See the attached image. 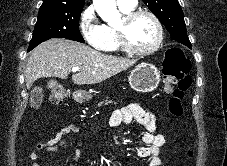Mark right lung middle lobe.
<instances>
[{"label":"right lung middle lobe","instance_id":"obj_1","mask_svg":"<svg viewBox=\"0 0 227 166\" xmlns=\"http://www.w3.org/2000/svg\"><path fill=\"white\" fill-rule=\"evenodd\" d=\"M82 9L40 8L29 49L51 38H66L84 43L78 22Z\"/></svg>","mask_w":227,"mask_h":166}]
</instances>
